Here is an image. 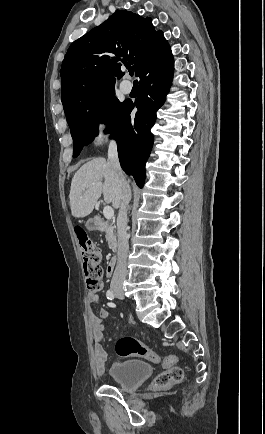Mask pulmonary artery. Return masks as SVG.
I'll use <instances>...</instances> for the list:
<instances>
[{"mask_svg":"<svg viewBox=\"0 0 265 434\" xmlns=\"http://www.w3.org/2000/svg\"><path fill=\"white\" fill-rule=\"evenodd\" d=\"M120 90L124 93V94H129L131 91V87L128 86V84H121L120 85Z\"/></svg>","mask_w":265,"mask_h":434,"instance_id":"pulmonary-artery-1","label":"pulmonary artery"}]
</instances>
